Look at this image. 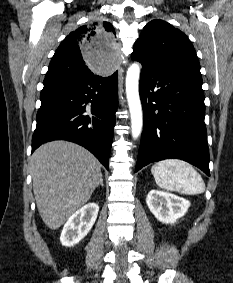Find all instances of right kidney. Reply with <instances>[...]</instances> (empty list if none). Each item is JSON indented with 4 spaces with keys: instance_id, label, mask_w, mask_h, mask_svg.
Returning a JSON list of instances; mask_svg holds the SVG:
<instances>
[{
    "instance_id": "obj_1",
    "label": "right kidney",
    "mask_w": 233,
    "mask_h": 283,
    "mask_svg": "<svg viewBox=\"0 0 233 283\" xmlns=\"http://www.w3.org/2000/svg\"><path fill=\"white\" fill-rule=\"evenodd\" d=\"M99 206L88 203L77 210L63 227L60 241L63 246L71 247L84 238L94 225Z\"/></svg>"
}]
</instances>
